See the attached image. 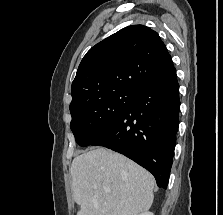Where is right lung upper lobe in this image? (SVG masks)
<instances>
[{
	"mask_svg": "<svg viewBox=\"0 0 223 215\" xmlns=\"http://www.w3.org/2000/svg\"><path fill=\"white\" fill-rule=\"evenodd\" d=\"M176 74L157 32L143 25L125 27L93 46L72 82L70 109L117 90L138 93Z\"/></svg>",
	"mask_w": 223,
	"mask_h": 215,
	"instance_id": "1",
	"label": "right lung upper lobe"
}]
</instances>
